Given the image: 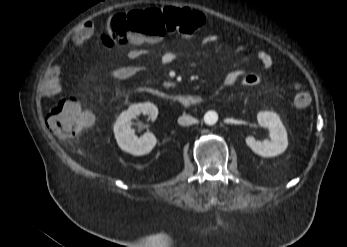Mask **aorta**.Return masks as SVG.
<instances>
[{"label":"aorta","instance_id":"obj_1","mask_svg":"<svg viewBox=\"0 0 347 247\" xmlns=\"http://www.w3.org/2000/svg\"><path fill=\"white\" fill-rule=\"evenodd\" d=\"M218 120V115L215 111H208L204 115V121L207 125H214Z\"/></svg>","mask_w":347,"mask_h":247}]
</instances>
